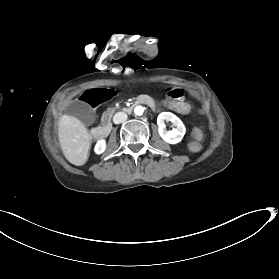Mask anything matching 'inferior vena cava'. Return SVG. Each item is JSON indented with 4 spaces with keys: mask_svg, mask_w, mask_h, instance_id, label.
Here are the masks:
<instances>
[{
    "mask_svg": "<svg viewBox=\"0 0 279 279\" xmlns=\"http://www.w3.org/2000/svg\"><path fill=\"white\" fill-rule=\"evenodd\" d=\"M125 119H127V115L124 114L123 112H118L117 114H115V116L113 117V121L115 124L121 123L123 122Z\"/></svg>",
    "mask_w": 279,
    "mask_h": 279,
    "instance_id": "602c4592",
    "label": "inferior vena cava"
}]
</instances>
